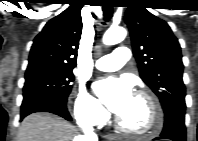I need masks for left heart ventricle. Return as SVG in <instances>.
Returning <instances> with one entry per match:
<instances>
[{
	"label": "left heart ventricle",
	"instance_id": "left-heart-ventricle-1",
	"mask_svg": "<svg viewBox=\"0 0 198 141\" xmlns=\"http://www.w3.org/2000/svg\"><path fill=\"white\" fill-rule=\"evenodd\" d=\"M119 117L124 125L134 130L144 131L151 125L149 106L136 95Z\"/></svg>",
	"mask_w": 198,
	"mask_h": 141
}]
</instances>
